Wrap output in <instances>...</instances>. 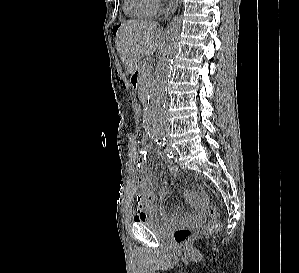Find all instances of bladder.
<instances>
[{
    "label": "bladder",
    "instance_id": "bladder-1",
    "mask_svg": "<svg viewBox=\"0 0 299 273\" xmlns=\"http://www.w3.org/2000/svg\"><path fill=\"white\" fill-rule=\"evenodd\" d=\"M136 223L145 225L155 232L163 233L165 231V222L163 219L150 211H145L141 219L137 220Z\"/></svg>",
    "mask_w": 299,
    "mask_h": 273
}]
</instances>
